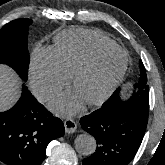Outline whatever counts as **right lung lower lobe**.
Masks as SVG:
<instances>
[{"label":"right lung lower lobe","instance_id":"98d812e1","mask_svg":"<svg viewBox=\"0 0 165 165\" xmlns=\"http://www.w3.org/2000/svg\"><path fill=\"white\" fill-rule=\"evenodd\" d=\"M63 135V122L23 86L16 105L0 112V161L7 165H41L48 143Z\"/></svg>","mask_w":165,"mask_h":165}]
</instances>
